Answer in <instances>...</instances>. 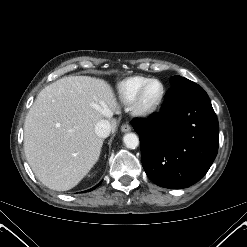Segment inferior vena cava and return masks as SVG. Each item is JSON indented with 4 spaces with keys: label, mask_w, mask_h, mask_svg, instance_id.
<instances>
[{
    "label": "inferior vena cava",
    "mask_w": 247,
    "mask_h": 247,
    "mask_svg": "<svg viewBox=\"0 0 247 247\" xmlns=\"http://www.w3.org/2000/svg\"><path fill=\"white\" fill-rule=\"evenodd\" d=\"M111 132V124L108 120H101L95 126V134L100 138H106Z\"/></svg>",
    "instance_id": "obj_1"
}]
</instances>
